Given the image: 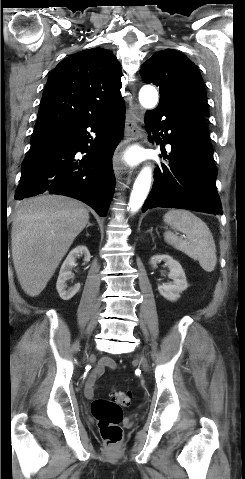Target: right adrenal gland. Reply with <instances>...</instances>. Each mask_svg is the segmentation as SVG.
I'll use <instances>...</instances> for the list:
<instances>
[{"label": "right adrenal gland", "instance_id": "2a0ac1e0", "mask_svg": "<svg viewBox=\"0 0 245 479\" xmlns=\"http://www.w3.org/2000/svg\"><path fill=\"white\" fill-rule=\"evenodd\" d=\"M91 225H92L91 223H88L87 228H88L89 226H91Z\"/></svg>", "mask_w": 245, "mask_h": 479}]
</instances>
